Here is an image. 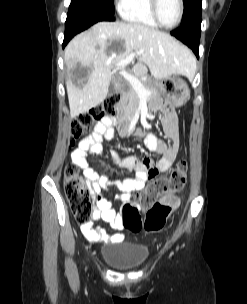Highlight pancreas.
<instances>
[{
  "label": "pancreas",
  "instance_id": "1",
  "mask_svg": "<svg viewBox=\"0 0 247 304\" xmlns=\"http://www.w3.org/2000/svg\"><path fill=\"white\" fill-rule=\"evenodd\" d=\"M143 86L151 91V96L149 99H154L159 97L160 92L158 90V86L154 83L148 82V81H142ZM140 98L137 92L133 89V87H130V89L127 92H124L121 95L120 101L118 103V106H123V113L125 115H134L139 107Z\"/></svg>",
  "mask_w": 247,
  "mask_h": 304
}]
</instances>
